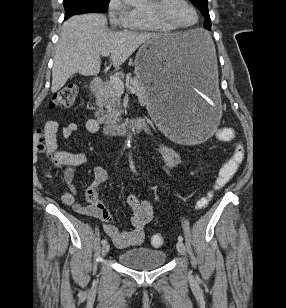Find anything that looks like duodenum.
Here are the masks:
<instances>
[{
    "label": "duodenum",
    "instance_id": "1",
    "mask_svg": "<svg viewBox=\"0 0 286 308\" xmlns=\"http://www.w3.org/2000/svg\"><path fill=\"white\" fill-rule=\"evenodd\" d=\"M103 86V80L101 78H95L91 84V90L96 92ZM147 127L145 119L128 120L116 123H108L103 125V132L107 136H118L126 133L130 129H144Z\"/></svg>",
    "mask_w": 286,
    "mask_h": 308
}]
</instances>
